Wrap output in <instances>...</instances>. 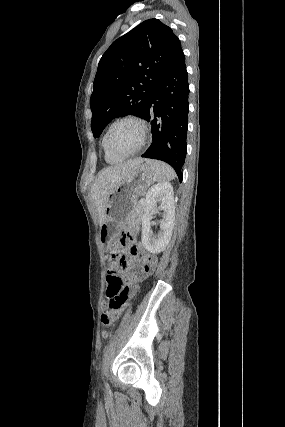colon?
<instances>
[{
	"mask_svg": "<svg viewBox=\"0 0 285 427\" xmlns=\"http://www.w3.org/2000/svg\"><path fill=\"white\" fill-rule=\"evenodd\" d=\"M129 236V233H125L121 238L115 240L112 243V249L108 254L110 261H116L120 258L119 250L127 245ZM139 251L140 249L137 245L131 246V253L133 255H138ZM120 267L125 274L129 275V280L135 282L136 280L148 275L151 272L152 261L149 258H145L143 264L135 270H131L126 262H121ZM107 280L109 292L102 303L104 311L101 316V322L104 327V337L108 336L109 330L112 328L113 323L117 318L118 310L129 296L126 281L121 274L110 270ZM116 292L118 295H116Z\"/></svg>",
	"mask_w": 285,
	"mask_h": 427,
	"instance_id": "1",
	"label": "colon"
}]
</instances>
